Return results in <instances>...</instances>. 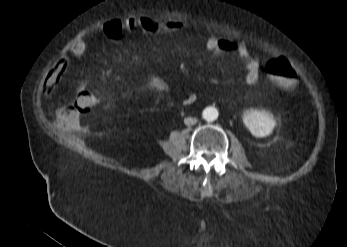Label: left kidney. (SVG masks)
I'll return each mask as SVG.
<instances>
[{
	"instance_id": "left-kidney-1",
	"label": "left kidney",
	"mask_w": 347,
	"mask_h": 247,
	"mask_svg": "<svg viewBox=\"0 0 347 247\" xmlns=\"http://www.w3.org/2000/svg\"><path fill=\"white\" fill-rule=\"evenodd\" d=\"M243 122L252 135L266 137L276 126L273 114L267 110H251L243 115Z\"/></svg>"
}]
</instances>
